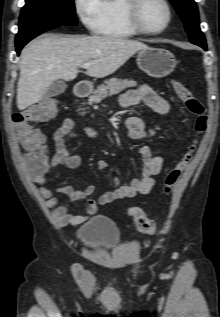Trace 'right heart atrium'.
Wrapping results in <instances>:
<instances>
[{
    "mask_svg": "<svg viewBox=\"0 0 220 317\" xmlns=\"http://www.w3.org/2000/svg\"><path fill=\"white\" fill-rule=\"evenodd\" d=\"M73 7L81 23L92 32L97 31L100 0H74Z\"/></svg>",
    "mask_w": 220,
    "mask_h": 317,
    "instance_id": "1",
    "label": "right heart atrium"
}]
</instances>
